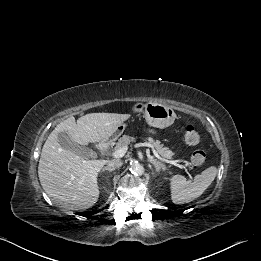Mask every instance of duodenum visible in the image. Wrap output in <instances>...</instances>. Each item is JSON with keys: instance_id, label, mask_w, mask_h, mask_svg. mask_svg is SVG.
Here are the masks:
<instances>
[{"instance_id": "obj_1", "label": "duodenum", "mask_w": 261, "mask_h": 261, "mask_svg": "<svg viewBox=\"0 0 261 261\" xmlns=\"http://www.w3.org/2000/svg\"><path fill=\"white\" fill-rule=\"evenodd\" d=\"M98 149H99L100 151H104V150L106 149V144H105V143H100V144L98 145Z\"/></svg>"}]
</instances>
